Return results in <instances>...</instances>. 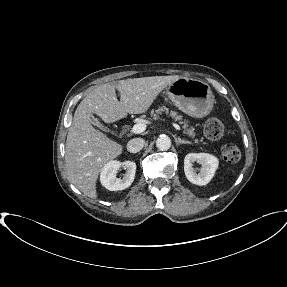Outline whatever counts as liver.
I'll return each mask as SVG.
<instances>
[{
    "mask_svg": "<svg viewBox=\"0 0 287 287\" xmlns=\"http://www.w3.org/2000/svg\"><path fill=\"white\" fill-rule=\"evenodd\" d=\"M174 76H153L106 83L91 91L78 105L69 128L65 163L69 181L84 195L96 199V182L105 164L118 157L122 145L96 130L89 114L113 123L127 114L145 113L162 90L179 79ZM116 90L120 93L117 99Z\"/></svg>",
    "mask_w": 287,
    "mask_h": 287,
    "instance_id": "liver-1",
    "label": "liver"
}]
</instances>
